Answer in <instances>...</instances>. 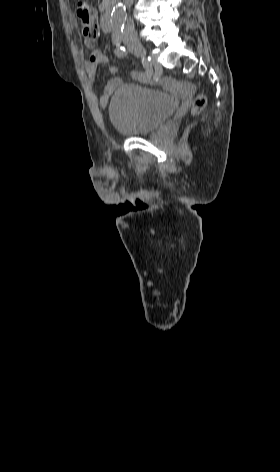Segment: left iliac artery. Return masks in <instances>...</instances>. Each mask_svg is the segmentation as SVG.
Returning <instances> with one entry per match:
<instances>
[{
    "label": "left iliac artery",
    "mask_w": 280,
    "mask_h": 472,
    "mask_svg": "<svg viewBox=\"0 0 280 472\" xmlns=\"http://www.w3.org/2000/svg\"><path fill=\"white\" fill-rule=\"evenodd\" d=\"M122 34H123V26L116 25L113 27V43L115 45H119L122 40Z\"/></svg>",
    "instance_id": "obj_1"
}]
</instances>
